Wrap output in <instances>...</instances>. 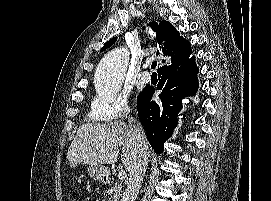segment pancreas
I'll return each instance as SVG.
<instances>
[{"label": "pancreas", "mask_w": 271, "mask_h": 201, "mask_svg": "<svg viewBox=\"0 0 271 201\" xmlns=\"http://www.w3.org/2000/svg\"><path fill=\"white\" fill-rule=\"evenodd\" d=\"M122 194V185L115 182L113 187L107 191L105 196H109L108 200L106 201H119Z\"/></svg>", "instance_id": "1"}]
</instances>
